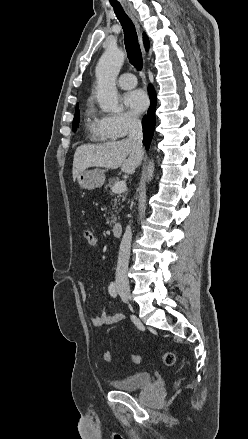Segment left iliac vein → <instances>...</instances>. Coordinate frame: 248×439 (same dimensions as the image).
<instances>
[{
    "instance_id": "left-iliac-vein-1",
    "label": "left iliac vein",
    "mask_w": 248,
    "mask_h": 439,
    "mask_svg": "<svg viewBox=\"0 0 248 439\" xmlns=\"http://www.w3.org/2000/svg\"><path fill=\"white\" fill-rule=\"evenodd\" d=\"M121 298L123 299V301H126V299L121 295Z\"/></svg>"
}]
</instances>
